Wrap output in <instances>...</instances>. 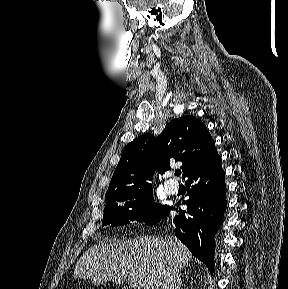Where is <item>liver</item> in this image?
<instances>
[{
  "label": "liver",
  "instance_id": "obj_1",
  "mask_svg": "<svg viewBox=\"0 0 288 289\" xmlns=\"http://www.w3.org/2000/svg\"><path fill=\"white\" fill-rule=\"evenodd\" d=\"M190 259L189 250L174 236L100 242L78 260L74 277L90 279L94 285L128 280L132 289H159L169 263L182 270Z\"/></svg>",
  "mask_w": 288,
  "mask_h": 289
}]
</instances>
